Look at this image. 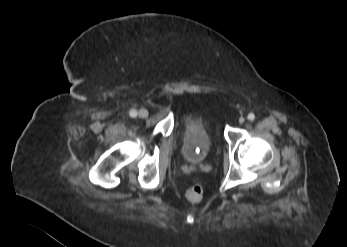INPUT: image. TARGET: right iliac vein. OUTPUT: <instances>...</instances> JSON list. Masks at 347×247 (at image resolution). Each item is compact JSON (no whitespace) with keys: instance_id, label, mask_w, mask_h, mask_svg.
Returning a JSON list of instances; mask_svg holds the SVG:
<instances>
[{"instance_id":"right-iliac-vein-1","label":"right iliac vein","mask_w":347,"mask_h":247,"mask_svg":"<svg viewBox=\"0 0 347 247\" xmlns=\"http://www.w3.org/2000/svg\"><path fill=\"white\" fill-rule=\"evenodd\" d=\"M139 118H147L148 117V110L147 109H140L138 112Z\"/></svg>"}]
</instances>
